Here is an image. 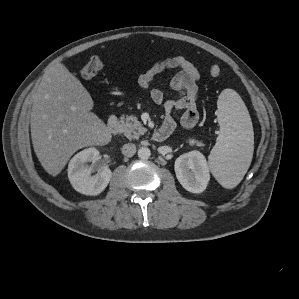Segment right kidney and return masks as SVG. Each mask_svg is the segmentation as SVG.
Masks as SVG:
<instances>
[{
    "label": "right kidney",
    "instance_id": "obj_1",
    "mask_svg": "<svg viewBox=\"0 0 299 299\" xmlns=\"http://www.w3.org/2000/svg\"><path fill=\"white\" fill-rule=\"evenodd\" d=\"M99 159V151L88 148L77 153L69 162L68 178L73 188L84 195L95 196L100 194L108 185L112 172L104 167L95 175H91L93 169L88 162H96Z\"/></svg>",
    "mask_w": 299,
    "mask_h": 299
}]
</instances>
